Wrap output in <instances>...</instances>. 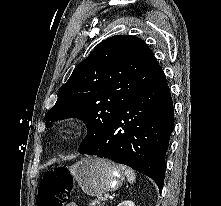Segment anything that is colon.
Returning <instances> with one entry per match:
<instances>
[{"label": "colon", "instance_id": "obj_1", "mask_svg": "<svg viewBox=\"0 0 221 206\" xmlns=\"http://www.w3.org/2000/svg\"><path fill=\"white\" fill-rule=\"evenodd\" d=\"M72 192L71 173L66 168H57L41 181L37 206H67Z\"/></svg>", "mask_w": 221, "mask_h": 206}]
</instances>
